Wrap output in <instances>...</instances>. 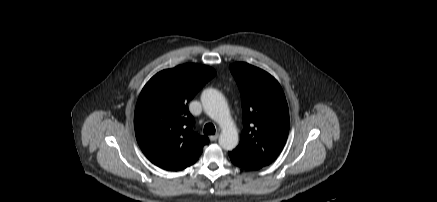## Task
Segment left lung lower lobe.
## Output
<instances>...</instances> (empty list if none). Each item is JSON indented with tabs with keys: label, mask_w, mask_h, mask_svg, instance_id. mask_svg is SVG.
Masks as SVG:
<instances>
[{
	"label": "left lung lower lobe",
	"mask_w": 437,
	"mask_h": 202,
	"mask_svg": "<svg viewBox=\"0 0 437 202\" xmlns=\"http://www.w3.org/2000/svg\"><path fill=\"white\" fill-rule=\"evenodd\" d=\"M229 157H230L231 161H232L235 165H237V166H239V167H241V168H243V169H247V170H258V169L261 168V167H258V166H256V165H254V164H252V163L246 161L245 159L241 158L240 156H238V155H236V154H234V153H232V152H229Z\"/></svg>",
	"instance_id": "left-lung-lower-lobe-1"
}]
</instances>
